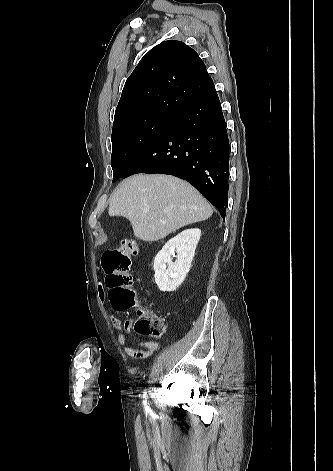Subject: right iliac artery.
Segmentation results:
<instances>
[{
	"instance_id": "1",
	"label": "right iliac artery",
	"mask_w": 333,
	"mask_h": 471,
	"mask_svg": "<svg viewBox=\"0 0 333 471\" xmlns=\"http://www.w3.org/2000/svg\"><path fill=\"white\" fill-rule=\"evenodd\" d=\"M144 398H145V400L143 401V404H144V406H145V411H146V412H150V408H149V406L147 405L146 393H144Z\"/></svg>"
}]
</instances>
